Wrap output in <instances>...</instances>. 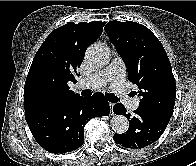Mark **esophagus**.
I'll return each mask as SVG.
<instances>
[{"instance_id": "34e87169", "label": "esophagus", "mask_w": 196, "mask_h": 166, "mask_svg": "<svg viewBox=\"0 0 196 166\" xmlns=\"http://www.w3.org/2000/svg\"><path fill=\"white\" fill-rule=\"evenodd\" d=\"M109 106H110L111 114L114 115V111H113L114 103L110 102V103H109Z\"/></svg>"}]
</instances>
